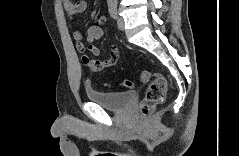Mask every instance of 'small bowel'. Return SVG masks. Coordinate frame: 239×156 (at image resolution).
Wrapping results in <instances>:
<instances>
[{
    "label": "small bowel",
    "instance_id": "small-bowel-1",
    "mask_svg": "<svg viewBox=\"0 0 239 156\" xmlns=\"http://www.w3.org/2000/svg\"><path fill=\"white\" fill-rule=\"evenodd\" d=\"M64 9L67 13L69 22L75 21V16L86 10L87 4L85 1L72 2L70 0L63 1ZM106 19L101 17L98 24L92 25L87 30L86 43L83 42V34L80 30L73 32V38L76 41V46L79 52L83 53L82 61L84 65L93 72H99L109 68L117 62L119 58V49L116 44L110 46L109 56L99 59V49L95 46V41L103 36V29L101 24H104ZM89 53V54H87Z\"/></svg>",
    "mask_w": 239,
    "mask_h": 156
}]
</instances>
